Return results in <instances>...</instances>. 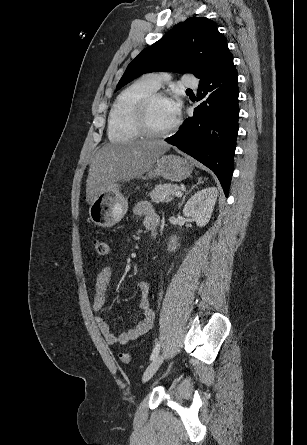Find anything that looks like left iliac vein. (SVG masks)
Returning <instances> with one entry per match:
<instances>
[{
  "label": "left iliac vein",
  "instance_id": "left-iliac-vein-1",
  "mask_svg": "<svg viewBox=\"0 0 307 445\" xmlns=\"http://www.w3.org/2000/svg\"><path fill=\"white\" fill-rule=\"evenodd\" d=\"M163 359H164L163 354H160L153 359V361L149 364V366L146 368L143 374V382L148 381L155 374V372L162 364Z\"/></svg>",
  "mask_w": 307,
  "mask_h": 445
}]
</instances>
